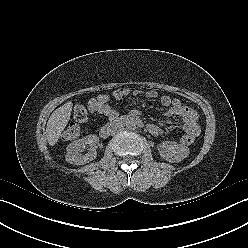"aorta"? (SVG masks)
I'll list each match as a JSON object with an SVG mask.
<instances>
[{"label":"aorta","mask_w":248,"mask_h":248,"mask_svg":"<svg viewBox=\"0 0 248 248\" xmlns=\"http://www.w3.org/2000/svg\"><path fill=\"white\" fill-rule=\"evenodd\" d=\"M126 129L129 131L135 130L136 129V123L134 121H128L126 123Z\"/></svg>","instance_id":"762f6f07"}]
</instances>
